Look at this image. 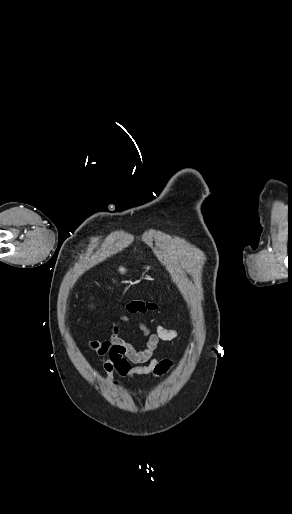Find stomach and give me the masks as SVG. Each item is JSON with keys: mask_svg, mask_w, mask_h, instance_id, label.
<instances>
[{"mask_svg": "<svg viewBox=\"0 0 292 514\" xmlns=\"http://www.w3.org/2000/svg\"><path fill=\"white\" fill-rule=\"evenodd\" d=\"M145 270H150V266H147V268H145ZM119 272H121V274H125L126 270H125V268H122V266H120Z\"/></svg>", "mask_w": 292, "mask_h": 514, "instance_id": "obj_1", "label": "stomach"}]
</instances>
